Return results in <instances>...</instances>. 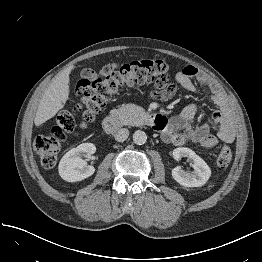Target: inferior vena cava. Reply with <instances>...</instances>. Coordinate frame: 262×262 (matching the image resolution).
I'll return each mask as SVG.
<instances>
[{"mask_svg":"<svg viewBox=\"0 0 262 262\" xmlns=\"http://www.w3.org/2000/svg\"><path fill=\"white\" fill-rule=\"evenodd\" d=\"M128 136H129V130L126 128H121L115 134V140L118 142H123L128 138Z\"/></svg>","mask_w":262,"mask_h":262,"instance_id":"602c4592","label":"inferior vena cava"}]
</instances>
